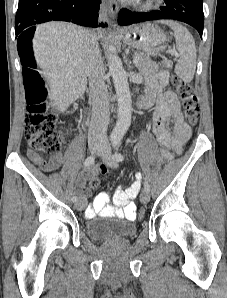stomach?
I'll return each mask as SVG.
<instances>
[{"label":"stomach","instance_id":"obj_1","mask_svg":"<svg viewBox=\"0 0 227 298\" xmlns=\"http://www.w3.org/2000/svg\"><path fill=\"white\" fill-rule=\"evenodd\" d=\"M122 40L128 46L152 56L162 53L169 41L164 31L153 23H144L127 29L122 34Z\"/></svg>","mask_w":227,"mask_h":298}]
</instances>
